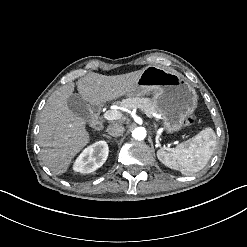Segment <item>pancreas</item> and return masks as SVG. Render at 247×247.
<instances>
[{
	"label": "pancreas",
	"instance_id": "cf45deb5",
	"mask_svg": "<svg viewBox=\"0 0 247 247\" xmlns=\"http://www.w3.org/2000/svg\"><path fill=\"white\" fill-rule=\"evenodd\" d=\"M116 104L125 107L127 109L138 108L144 111V113L147 116H153V114L158 112L156 106L154 105V102L150 98H145V97L127 98L117 102Z\"/></svg>",
	"mask_w": 247,
	"mask_h": 247
}]
</instances>
